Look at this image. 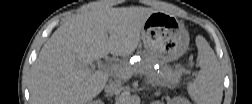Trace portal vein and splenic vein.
<instances>
[{
  "mask_svg": "<svg viewBox=\"0 0 252 104\" xmlns=\"http://www.w3.org/2000/svg\"><path fill=\"white\" fill-rule=\"evenodd\" d=\"M113 68H114L116 74L119 77H122L124 79H129V78H131L134 75V73H133L132 70L122 69L118 65L113 66Z\"/></svg>",
  "mask_w": 252,
  "mask_h": 104,
  "instance_id": "portal-vein-and-splenic-vein-1",
  "label": "portal vein and splenic vein"
}]
</instances>
